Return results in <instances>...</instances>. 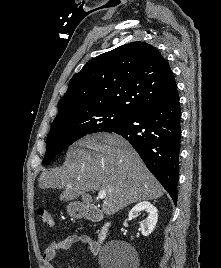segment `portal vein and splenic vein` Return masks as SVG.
<instances>
[{"label": "portal vein and splenic vein", "instance_id": "obj_1", "mask_svg": "<svg viewBox=\"0 0 221 268\" xmlns=\"http://www.w3.org/2000/svg\"><path fill=\"white\" fill-rule=\"evenodd\" d=\"M105 197H106V192L104 190L99 191L98 198L99 199H104Z\"/></svg>", "mask_w": 221, "mask_h": 268}]
</instances>
